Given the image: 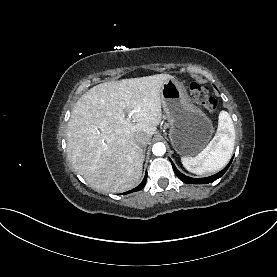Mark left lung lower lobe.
Returning a JSON list of instances; mask_svg holds the SVG:
<instances>
[{"mask_svg":"<svg viewBox=\"0 0 277 277\" xmlns=\"http://www.w3.org/2000/svg\"><path fill=\"white\" fill-rule=\"evenodd\" d=\"M231 162H232V159L229 162V164L222 171H220L219 173H217L213 176L205 177V178H191V177H188V176H185L184 174H182L175 167L173 162L171 161L175 174L180 178V180H182L185 183H189V184H205V183H210V182H213V181L217 180L218 178H220L226 172V170L229 168Z\"/></svg>","mask_w":277,"mask_h":277,"instance_id":"0a47b994","label":"left lung lower lobe"}]
</instances>
